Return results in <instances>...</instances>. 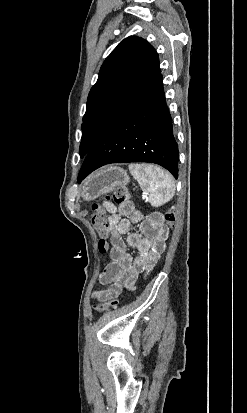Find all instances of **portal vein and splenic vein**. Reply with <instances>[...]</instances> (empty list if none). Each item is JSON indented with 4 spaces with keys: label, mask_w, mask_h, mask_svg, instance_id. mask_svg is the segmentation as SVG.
I'll use <instances>...</instances> for the list:
<instances>
[{
    "label": "portal vein and splenic vein",
    "mask_w": 247,
    "mask_h": 413,
    "mask_svg": "<svg viewBox=\"0 0 247 413\" xmlns=\"http://www.w3.org/2000/svg\"><path fill=\"white\" fill-rule=\"evenodd\" d=\"M143 193L146 194L147 192L144 191ZM141 199H142V200H145V199H146V196H145V195H142V196H141Z\"/></svg>",
    "instance_id": "1"
}]
</instances>
